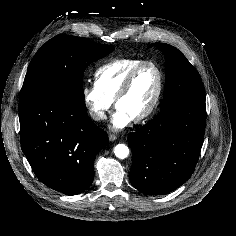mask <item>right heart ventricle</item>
<instances>
[{
    "label": "right heart ventricle",
    "instance_id": "right-heart-ventricle-1",
    "mask_svg": "<svg viewBox=\"0 0 236 236\" xmlns=\"http://www.w3.org/2000/svg\"><path fill=\"white\" fill-rule=\"evenodd\" d=\"M143 61L140 58L110 61L96 70L95 83L109 99L114 100L129 72Z\"/></svg>",
    "mask_w": 236,
    "mask_h": 236
}]
</instances>
